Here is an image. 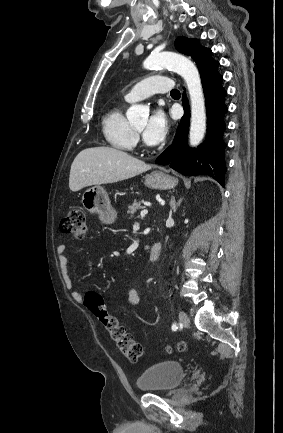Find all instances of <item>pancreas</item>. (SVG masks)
Masks as SVG:
<instances>
[{"instance_id": "cf45deb5", "label": "pancreas", "mask_w": 283, "mask_h": 433, "mask_svg": "<svg viewBox=\"0 0 283 433\" xmlns=\"http://www.w3.org/2000/svg\"><path fill=\"white\" fill-rule=\"evenodd\" d=\"M141 202H144V200H133L132 204H129L127 210L129 214V219H132V217H134V212H136V210H139V208H144V206H141Z\"/></svg>"}]
</instances>
